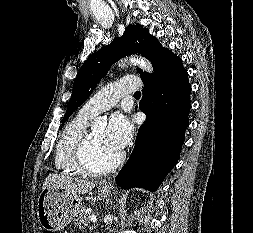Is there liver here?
Instances as JSON below:
<instances>
[{"mask_svg": "<svg viewBox=\"0 0 253 233\" xmlns=\"http://www.w3.org/2000/svg\"><path fill=\"white\" fill-rule=\"evenodd\" d=\"M96 186V182H89L60 174H49L43 183L42 189L59 188L68 193L85 194Z\"/></svg>", "mask_w": 253, "mask_h": 233, "instance_id": "6515ba94", "label": "liver"}]
</instances>
